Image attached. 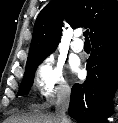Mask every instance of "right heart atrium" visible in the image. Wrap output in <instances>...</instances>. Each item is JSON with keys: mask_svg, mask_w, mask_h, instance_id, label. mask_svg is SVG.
<instances>
[{"mask_svg": "<svg viewBox=\"0 0 118 123\" xmlns=\"http://www.w3.org/2000/svg\"><path fill=\"white\" fill-rule=\"evenodd\" d=\"M34 84L47 105L55 103L58 98L66 96L70 91L64 77L63 65L53 56H48L37 66Z\"/></svg>", "mask_w": 118, "mask_h": 123, "instance_id": "obj_1", "label": "right heart atrium"}]
</instances>
